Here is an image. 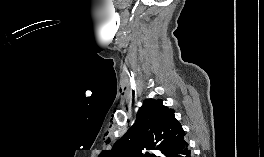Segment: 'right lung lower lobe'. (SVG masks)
<instances>
[{
  "instance_id": "98d812e1",
  "label": "right lung lower lobe",
  "mask_w": 264,
  "mask_h": 157,
  "mask_svg": "<svg viewBox=\"0 0 264 157\" xmlns=\"http://www.w3.org/2000/svg\"><path fill=\"white\" fill-rule=\"evenodd\" d=\"M165 157H193L188 147V143L184 140L175 149L169 152Z\"/></svg>"
}]
</instances>
